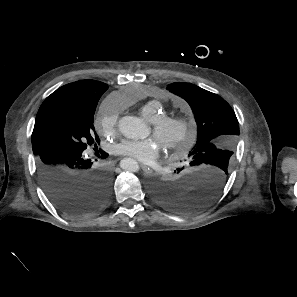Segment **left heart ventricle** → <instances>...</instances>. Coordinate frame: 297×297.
<instances>
[{"instance_id":"obj_1","label":"left heart ventricle","mask_w":297,"mask_h":297,"mask_svg":"<svg viewBox=\"0 0 297 297\" xmlns=\"http://www.w3.org/2000/svg\"><path fill=\"white\" fill-rule=\"evenodd\" d=\"M150 133H152L153 134V130H152V125H151V127H150ZM157 138V137H156ZM159 141H160V139L159 138H157Z\"/></svg>"}]
</instances>
